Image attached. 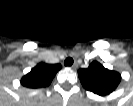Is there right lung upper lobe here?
<instances>
[{"label": "right lung upper lobe", "instance_id": "1", "mask_svg": "<svg viewBox=\"0 0 133 106\" xmlns=\"http://www.w3.org/2000/svg\"><path fill=\"white\" fill-rule=\"evenodd\" d=\"M61 68L60 64L39 63L27 75L23 76L21 84L28 88L46 87Z\"/></svg>", "mask_w": 133, "mask_h": 106}]
</instances>
